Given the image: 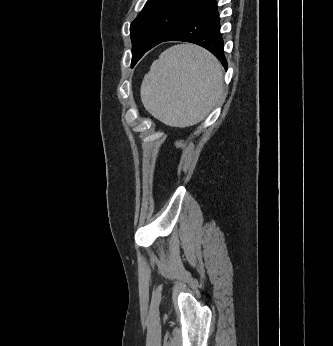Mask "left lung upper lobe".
<instances>
[{
    "label": "left lung upper lobe",
    "mask_w": 333,
    "mask_h": 346,
    "mask_svg": "<svg viewBox=\"0 0 333 346\" xmlns=\"http://www.w3.org/2000/svg\"><path fill=\"white\" fill-rule=\"evenodd\" d=\"M210 0H148L130 26L132 66Z\"/></svg>",
    "instance_id": "1"
}]
</instances>
